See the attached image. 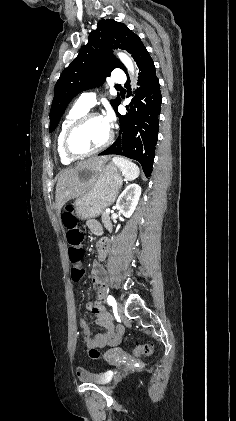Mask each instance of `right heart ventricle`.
<instances>
[{"label":"right heart ventricle","instance_id":"obj_1","mask_svg":"<svg viewBox=\"0 0 236 421\" xmlns=\"http://www.w3.org/2000/svg\"><path fill=\"white\" fill-rule=\"evenodd\" d=\"M85 112H86V110L82 109L79 105L75 104L67 112V114L65 115V117L63 118V120L61 122L59 132H58V135H57L56 145H57V152H58V155H59V159H60L62 164L69 165L74 161V159H71L63 150L64 134H65L67 128L69 127V125L76 118H78L80 115H82Z\"/></svg>","mask_w":236,"mask_h":421}]
</instances>
